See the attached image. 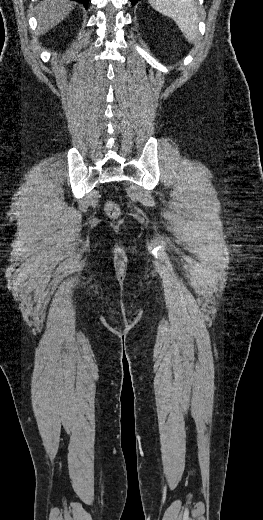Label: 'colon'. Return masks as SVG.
Listing matches in <instances>:
<instances>
[{
    "mask_svg": "<svg viewBox=\"0 0 263 520\" xmlns=\"http://www.w3.org/2000/svg\"><path fill=\"white\" fill-rule=\"evenodd\" d=\"M106 211L107 214L112 218L117 217L120 213L118 205L114 202H109L107 204Z\"/></svg>",
    "mask_w": 263,
    "mask_h": 520,
    "instance_id": "colon-1",
    "label": "colon"
}]
</instances>
